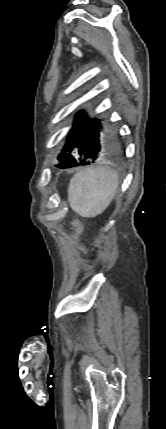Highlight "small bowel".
<instances>
[{
    "label": "small bowel",
    "instance_id": "c3829d8e",
    "mask_svg": "<svg viewBox=\"0 0 166 429\" xmlns=\"http://www.w3.org/2000/svg\"><path fill=\"white\" fill-rule=\"evenodd\" d=\"M74 226H75V228H76V230H77V231H80V230H81V228H82V227H81V224H80V223H78L77 221H75V222H74ZM80 249H81V251H82V252H84V251H85L84 247H82V246L80 247Z\"/></svg>",
    "mask_w": 166,
    "mask_h": 429
}]
</instances>
